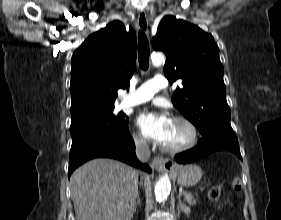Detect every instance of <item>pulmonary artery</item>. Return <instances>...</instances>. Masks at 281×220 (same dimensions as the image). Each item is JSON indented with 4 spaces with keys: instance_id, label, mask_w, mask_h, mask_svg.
<instances>
[{
    "instance_id": "1",
    "label": "pulmonary artery",
    "mask_w": 281,
    "mask_h": 220,
    "mask_svg": "<svg viewBox=\"0 0 281 220\" xmlns=\"http://www.w3.org/2000/svg\"><path fill=\"white\" fill-rule=\"evenodd\" d=\"M167 87V80L163 76L154 78L143 83L134 93L126 96L125 105H138L151 100L156 93Z\"/></svg>"
}]
</instances>
